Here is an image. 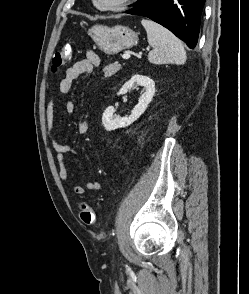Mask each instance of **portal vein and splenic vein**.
<instances>
[{
    "label": "portal vein and splenic vein",
    "instance_id": "18ae733b",
    "mask_svg": "<svg viewBox=\"0 0 249 294\" xmlns=\"http://www.w3.org/2000/svg\"><path fill=\"white\" fill-rule=\"evenodd\" d=\"M122 58H123L124 60L129 59V58H130V54H124V55L122 56Z\"/></svg>",
    "mask_w": 249,
    "mask_h": 294
}]
</instances>
